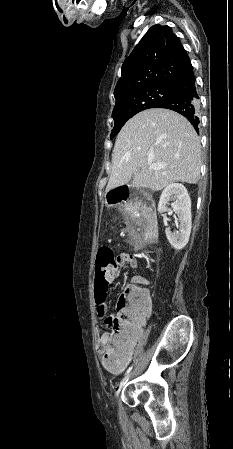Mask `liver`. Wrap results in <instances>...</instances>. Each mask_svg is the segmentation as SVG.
<instances>
[{
    "instance_id": "liver-1",
    "label": "liver",
    "mask_w": 233,
    "mask_h": 449,
    "mask_svg": "<svg viewBox=\"0 0 233 449\" xmlns=\"http://www.w3.org/2000/svg\"><path fill=\"white\" fill-rule=\"evenodd\" d=\"M160 166L152 169L148 164ZM201 146L190 122L168 109H148L123 126L115 141L106 192L127 184L159 191L174 182L196 184Z\"/></svg>"
}]
</instances>
